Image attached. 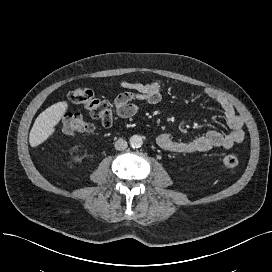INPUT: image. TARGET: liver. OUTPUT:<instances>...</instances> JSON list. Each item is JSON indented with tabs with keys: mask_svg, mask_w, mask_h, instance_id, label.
I'll use <instances>...</instances> for the list:
<instances>
[{
	"mask_svg": "<svg viewBox=\"0 0 272 272\" xmlns=\"http://www.w3.org/2000/svg\"><path fill=\"white\" fill-rule=\"evenodd\" d=\"M68 106L67 101L57 102L39 114L29 134L31 147L42 144L55 132V126L63 118Z\"/></svg>",
	"mask_w": 272,
	"mask_h": 272,
	"instance_id": "1",
	"label": "liver"
}]
</instances>
